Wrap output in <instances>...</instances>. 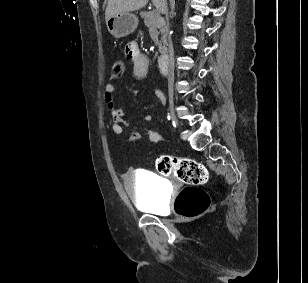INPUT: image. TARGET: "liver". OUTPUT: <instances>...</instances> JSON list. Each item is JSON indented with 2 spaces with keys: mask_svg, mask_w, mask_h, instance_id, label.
<instances>
[{
  "mask_svg": "<svg viewBox=\"0 0 308 283\" xmlns=\"http://www.w3.org/2000/svg\"><path fill=\"white\" fill-rule=\"evenodd\" d=\"M155 6H160V10H163L166 0H152ZM148 3V0H108L105 20L117 13L136 11L144 7Z\"/></svg>",
  "mask_w": 308,
  "mask_h": 283,
  "instance_id": "6515ba94",
  "label": "liver"
}]
</instances>
